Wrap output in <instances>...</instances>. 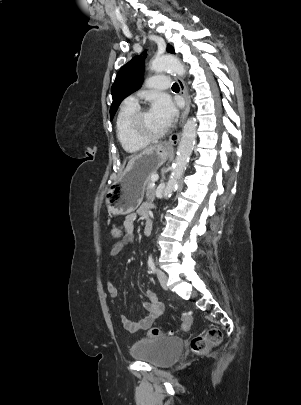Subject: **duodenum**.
Here are the masks:
<instances>
[{
	"label": "duodenum",
	"instance_id": "410a0bca",
	"mask_svg": "<svg viewBox=\"0 0 301 405\" xmlns=\"http://www.w3.org/2000/svg\"><path fill=\"white\" fill-rule=\"evenodd\" d=\"M152 232V221L147 219L144 227V234L149 235Z\"/></svg>",
	"mask_w": 301,
	"mask_h": 405
}]
</instances>
